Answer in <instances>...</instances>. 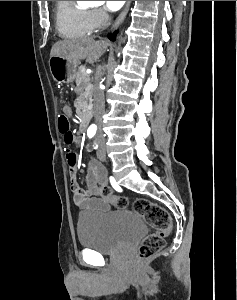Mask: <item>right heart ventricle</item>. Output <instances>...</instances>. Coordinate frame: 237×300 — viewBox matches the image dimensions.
I'll return each instance as SVG.
<instances>
[{
	"mask_svg": "<svg viewBox=\"0 0 237 300\" xmlns=\"http://www.w3.org/2000/svg\"><path fill=\"white\" fill-rule=\"evenodd\" d=\"M55 21L64 37L85 35L88 30V11L76 1H55Z\"/></svg>",
	"mask_w": 237,
	"mask_h": 300,
	"instance_id": "right-heart-ventricle-1",
	"label": "right heart ventricle"
}]
</instances>
